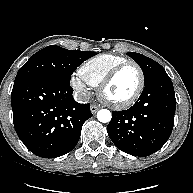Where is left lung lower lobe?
I'll list each match as a JSON object with an SVG mask.
<instances>
[{
	"mask_svg": "<svg viewBox=\"0 0 193 193\" xmlns=\"http://www.w3.org/2000/svg\"><path fill=\"white\" fill-rule=\"evenodd\" d=\"M176 99L166 71L155 75L131 108L112 112L110 139L121 151L139 157L158 151L173 129Z\"/></svg>",
	"mask_w": 193,
	"mask_h": 193,
	"instance_id": "0a47b994",
	"label": "left lung lower lobe"
}]
</instances>
